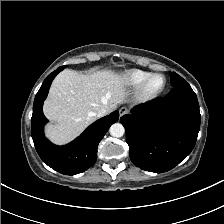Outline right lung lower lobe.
Instances as JSON below:
<instances>
[{
  "label": "right lung lower lobe",
  "instance_id": "obj_1",
  "mask_svg": "<svg viewBox=\"0 0 224 224\" xmlns=\"http://www.w3.org/2000/svg\"><path fill=\"white\" fill-rule=\"evenodd\" d=\"M59 67L44 80L33 104L31 136L40 158L52 169L66 175L86 171L96 161L97 147L109 127L118 120L115 111L90 125L78 138L65 146H56L44 137L43 128L47 119L42 106L54 77L62 71Z\"/></svg>",
  "mask_w": 224,
  "mask_h": 224
}]
</instances>
